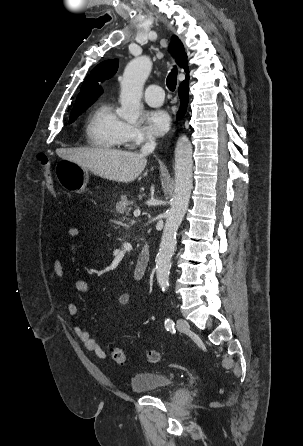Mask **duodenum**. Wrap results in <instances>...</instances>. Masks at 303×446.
Here are the masks:
<instances>
[{
  "label": "duodenum",
  "mask_w": 303,
  "mask_h": 446,
  "mask_svg": "<svg viewBox=\"0 0 303 446\" xmlns=\"http://www.w3.org/2000/svg\"><path fill=\"white\" fill-rule=\"evenodd\" d=\"M151 259V251L148 245H144L138 254L135 266H134V274L136 277H143L149 267Z\"/></svg>",
  "instance_id": "obj_1"
}]
</instances>
